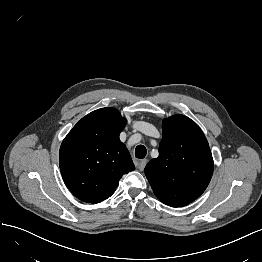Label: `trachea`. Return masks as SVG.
<instances>
[{
    "mask_svg": "<svg viewBox=\"0 0 262 262\" xmlns=\"http://www.w3.org/2000/svg\"><path fill=\"white\" fill-rule=\"evenodd\" d=\"M147 154V150L145 148V146L143 145H138L135 149V157L138 159H143L145 158Z\"/></svg>",
    "mask_w": 262,
    "mask_h": 262,
    "instance_id": "trachea-1",
    "label": "trachea"
}]
</instances>
